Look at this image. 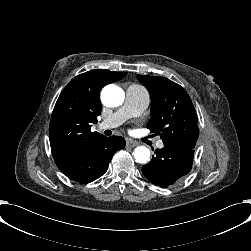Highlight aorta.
Returning <instances> with one entry per match:
<instances>
[{
  "mask_svg": "<svg viewBox=\"0 0 251 251\" xmlns=\"http://www.w3.org/2000/svg\"><path fill=\"white\" fill-rule=\"evenodd\" d=\"M125 93L122 88L109 84L101 91L102 103L109 107H117L124 102ZM133 156L135 161L140 164H146L150 160V150L145 146H138L134 149Z\"/></svg>",
  "mask_w": 251,
  "mask_h": 251,
  "instance_id": "1",
  "label": "aorta"
}]
</instances>
